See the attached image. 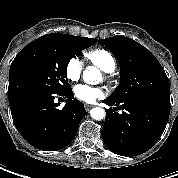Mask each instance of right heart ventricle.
<instances>
[{"label":"right heart ventricle","instance_id":"obj_1","mask_svg":"<svg viewBox=\"0 0 178 178\" xmlns=\"http://www.w3.org/2000/svg\"><path fill=\"white\" fill-rule=\"evenodd\" d=\"M87 60L104 72L111 73L115 70L116 61L114 56L105 49H93L85 54Z\"/></svg>","mask_w":178,"mask_h":178}]
</instances>
